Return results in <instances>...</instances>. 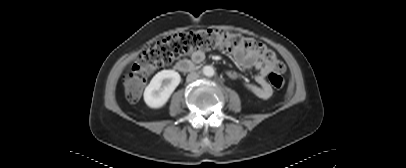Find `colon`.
<instances>
[{
  "instance_id": "1",
  "label": "colon",
  "mask_w": 406,
  "mask_h": 168,
  "mask_svg": "<svg viewBox=\"0 0 406 168\" xmlns=\"http://www.w3.org/2000/svg\"><path fill=\"white\" fill-rule=\"evenodd\" d=\"M219 48L227 52L248 51L256 53L266 63L273 65L269 82L280 89L284 85V65L264 43L238 33L208 28L190 30L168 36L146 49L124 76L127 99L137 101L144 89L147 76L153 71L169 66L174 60L195 52Z\"/></svg>"
}]
</instances>
